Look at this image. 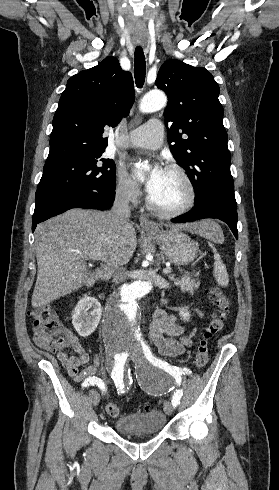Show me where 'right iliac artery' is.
<instances>
[{
	"mask_svg": "<svg viewBox=\"0 0 279 490\" xmlns=\"http://www.w3.org/2000/svg\"><path fill=\"white\" fill-rule=\"evenodd\" d=\"M128 358V355L126 352H112L111 354V359H112V364H113V370H112V378L114 379L115 383L118 384L117 389L121 390L122 389V381L119 380L121 374L123 373V366L126 363V360ZM81 386L80 389L84 390L87 387L91 388L93 385L97 386L104 392L105 386L104 383L102 382L101 377L99 376H91V377H86L85 380L81 381ZM121 396L123 395L122 393L120 394Z\"/></svg>",
	"mask_w": 279,
	"mask_h": 490,
	"instance_id": "obj_1",
	"label": "right iliac artery"
}]
</instances>
